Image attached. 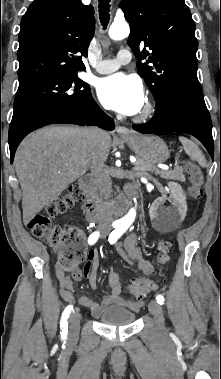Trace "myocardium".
Here are the masks:
<instances>
[{"mask_svg":"<svg viewBox=\"0 0 221 379\" xmlns=\"http://www.w3.org/2000/svg\"><path fill=\"white\" fill-rule=\"evenodd\" d=\"M155 111V106L151 100H147L141 110V112L135 117V121L144 122L148 120Z\"/></svg>","mask_w":221,"mask_h":379,"instance_id":"1","label":"myocardium"}]
</instances>
